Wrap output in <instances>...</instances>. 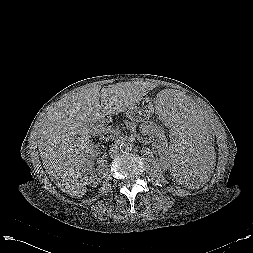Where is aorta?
<instances>
[{
    "label": "aorta",
    "instance_id": "1",
    "mask_svg": "<svg viewBox=\"0 0 253 253\" xmlns=\"http://www.w3.org/2000/svg\"><path fill=\"white\" fill-rule=\"evenodd\" d=\"M118 148L120 152L127 153L132 150V144L128 140H121L118 142Z\"/></svg>",
    "mask_w": 253,
    "mask_h": 253
}]
</instances>
